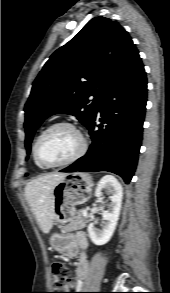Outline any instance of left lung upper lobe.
Wrapping results in <instances>:
<instances>
[{
  "instance_id": "obj_1",
  "label": "left lung upper lobe",
  "mask_w": 170,
  "mask_h": 293,
  "mask_svg": "<svg viewBox=\"0 0 170 293\" xmlns=\"http://www.w3.org/2000/svg\"><path fill=\"white\" fill-rule=\"evenodd\" d=\"M133 47L123 27L99 16L52 54L25 105L27 154L36 129L52 114L74 115L88 127L109 81Z\"/></svg>"
}]
</instances>
